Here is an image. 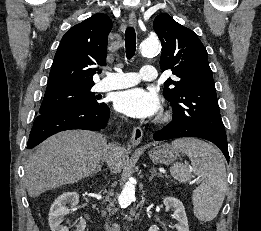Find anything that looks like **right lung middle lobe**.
Instances as JSON below:
<instances>
[{
	"label": "right lung middle lobe",
	"mask_w": 261,
	"mask_h": 231,
	"mask_svg": "<svg viewBox=\"0 0 261 231\" xmlns=\"http://www.w3.org/2000/svg\"><path fill=\"white\" fill-rule=\"evenodd\" d=\"M92 87L46 89L39 115H46L69 108H85L101 105Z\"/></svg>",
	"instance_id": "dd1d6c3e"
}]
</instances>
